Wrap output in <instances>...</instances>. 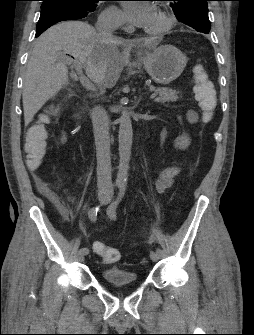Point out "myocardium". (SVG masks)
<instances>
[{"instance_id": "myocardium-1", "label": "myocardium", "mask_w": 254, "mask_h": 335, "mask_svg": "<svg viewBox=\"0 0 254 335\" xmlns=\"http://www.w3.org/2000/svg\"><path fill=\"white\" fill-rule=\"evenodd\" d=\"M157 14L162 19V26L158 29L151 30L150 33L157 35L165 34L172 28L173 19L163 10H158Z\"/></svg>"}]
</instances>
